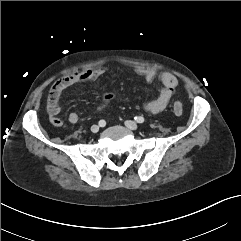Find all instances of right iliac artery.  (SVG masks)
<instances>
[{"instance_id":"82829eb1","label":"right iliac artery","mask_w":241,"mask_h":241,"mask_svg":"<svg viewBox=\"0 0 241 241\" xmlns=\"http://www.w3.org/2000/svg\"><path fill=\"white\" fill-rule=\"evenodd\" d=\"M98 124L100 127H104L106 125V122L104 120H100Z\"/></svg>"}]
</instances>
